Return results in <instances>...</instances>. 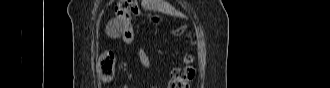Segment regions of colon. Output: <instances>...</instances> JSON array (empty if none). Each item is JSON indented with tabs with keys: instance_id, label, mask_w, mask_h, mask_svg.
<instances>
[{
	"instance_id": "obj_1",
	"label": "colon",
	"mask_w": 330,
	"mask_h": 88,
	"mask_svg": "<svg viewBox=\"0 0 330 88\" xmlns=\"http://www.w3.org/2000/svg\"><path fill=\"white\" fill-rule=\"evenodd\" d=\"M139 13L137 1L123 0L120 1L116 8V15L123 24L122 41L129 45L133 41V31L130 20ZM98 72L101 81L109 82L115 75V59L111 51H103L98 58ZM195 71L191 66V57L189 55L182 59L172 72V80L170 88H188L190 82L194 78Z\"/></svg>"
}]
</instances>
